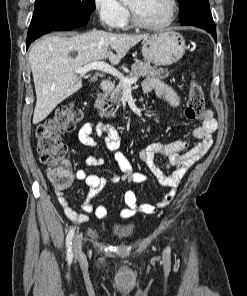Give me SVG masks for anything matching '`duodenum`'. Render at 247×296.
<instances>
[{"label":"duodenum","instance_id":"410a0bca","mask_svg":"<svg viewBox=\"0 0 247 296\" xmlns=\"http://www.w3.org/2000/svg\"><path fill=\"white\" fill-rule=\"evenodd\" d=\"M111 89H112V82L107 79H102L99 82V86H98L95 96L99 97L100 95L109 92Z\"/></svg>","mask_w":247,"mask_h":296}]
</instances>
